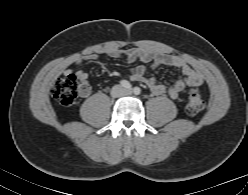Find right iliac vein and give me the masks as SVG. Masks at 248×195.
I'll return each instance as SVG.
<instances>
[{
	"label": "right iliac vein",
	"instance_id": "1",
	"mask_svg": "<svg viewBox=\"0 0 248 195\" xmlns=\"http://www.w3.org/2000/svg\"><path fill=\"white\" fill-rule=\"evenodd\" d=\"M112 94H113L114 96L120 95V94H121V88H120V87H114V88L112 89Z\"/></svg>",
	"mask_w": 248,
	"mask_h": 195
}]
</instances>
